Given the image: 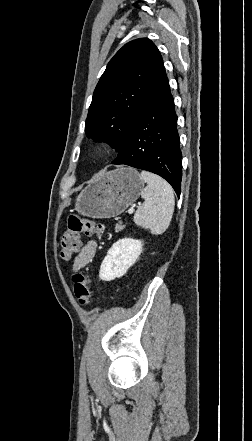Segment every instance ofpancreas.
I'll return each instance as SVG.
<instances>
[{"instance_id": "cf45deb5", "label": "pancreas", "mask_w": 252, "mask_h": 441, "mask_svg": "<svg viewBox=\"0 0 252 441\" xmlns=\"http://www.w3.org/2000/svg\"><path fill=\"white\" fill-rule=\"evenodd\" d=\"M124 228H125V226L122 225V222H119V223L116 224V226H115V231H116V232H119V231L123 230Z\"/></svg>"}]
</instances>
